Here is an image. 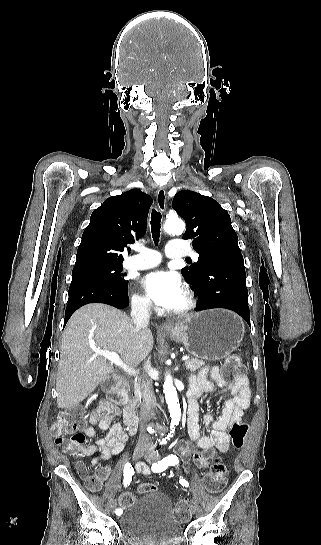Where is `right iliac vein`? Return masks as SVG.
Instances as JSON below:
<instances>
[{
	"mask_svg": "<svg viewBox=\"0 0 321 545\" xmlns=\"http://www.w3.org/2000/svg\"><path fill=\"white\" fill-rule=\"evenodd\" d=\"M145 454H146V450L144 448L136 447L134 452H133V460H138L142 456H144ZM115 508H116V502L112 501V503L110 505V510H111L112 513H114Z\"/></svg>",
	"mask_w": 321,
	"mask_h": 545,
	"instance_id": "obj_1",
	"label": "right iliac vein"
}]
</instances>
